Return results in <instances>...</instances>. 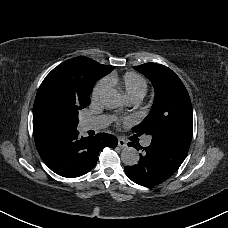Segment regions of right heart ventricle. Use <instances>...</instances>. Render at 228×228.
<instances>
[{"mask_svg":"<svg viewBox=\"0 0 228 228\" xmlns=\"http://www.w3.org/2000/svg\"><path fill=\"white\" fill-rule=\"evenodd\" d=\"M104 81L109 87L108 91H113L117 94L121 92L128 100L139 98L140 101L148 87L147 81L141 75L134 72H127L123 75L111 73L104 77Z\"/></svg>","mask_w":228,"mask_h":228,"instance_id":"1","label":"right heart ventricle"}]
</instances>
